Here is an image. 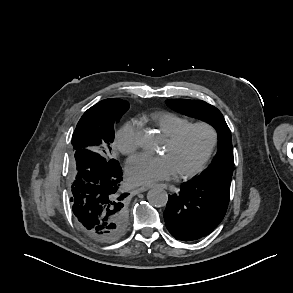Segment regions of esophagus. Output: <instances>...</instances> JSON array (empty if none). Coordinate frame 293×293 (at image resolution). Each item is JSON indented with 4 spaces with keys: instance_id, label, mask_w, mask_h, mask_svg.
Returning a JSON list of instances; mask_svg holds the SVG:
<instances>
[{
    "instance_id": "34e87169",
    "label": "esophagus",
    "mask_w": 293,
    "mask_h": 293,
    "mask_svg": "<svg viewBox=\"0 0 293 293\" xmlns=\"http://www.w3.org/2000/svg\"><path fill=\"white\" fill-rule=\"evenodd\" d=\"M159 187L163 188V189H167V185L165 184H159ZM152 186H147V187H140L136 190L137 193H141V192H145L147 190H149Z\"/></svg>"
}]
</instances>
